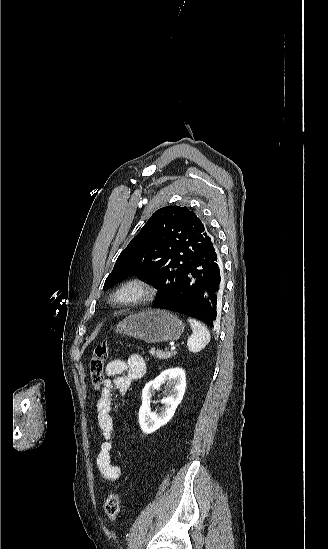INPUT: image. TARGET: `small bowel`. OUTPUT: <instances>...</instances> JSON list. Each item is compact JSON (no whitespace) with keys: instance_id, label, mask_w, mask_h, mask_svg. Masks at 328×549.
Masks as SVG:
<instances>
[{"instance_id":"1","label":"small bowel","mask_w":328,"mask_h":549,"mask_svg":"<svg viewBox=\"0 0 328 549\" xmlns=\"http://www.w3.org/2000/svg\"><path fill=\"white\" fill-rule=\"evenodd\" d=\"M105 371L108 378L96 402L97 424L103 439L96 457V465L104 479L116 481L121 476V469L111 460L114 426L111 416L112 392L115 390L121 395L127 394L131 383L145 375L146 363L140 355L132 354L126 360L113 359L106 365Z\"/></svg>"}]
</instances>
